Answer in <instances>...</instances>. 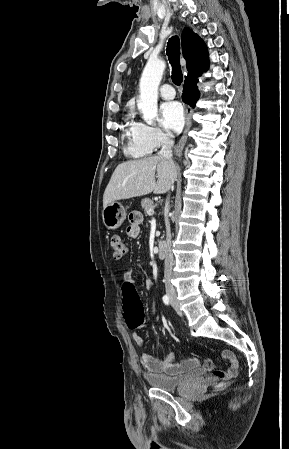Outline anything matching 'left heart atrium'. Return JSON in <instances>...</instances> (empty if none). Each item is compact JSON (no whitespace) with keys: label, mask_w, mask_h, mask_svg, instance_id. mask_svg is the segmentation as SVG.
I'll return each instance as SVG.
<instances>
[{"label":"left heart atrium","mask_w":289,"mask_h":449,"mask_svg":"<svg viewBox=\"0 0 289 449\" xmlns=\"http://www.w3.org/2000/svg\"><path fill=\"white\" fill-rule=\"evenodd\" d=\"M160 122L168 131L178 132L185 122L183 107L179 102H165L160 106Z\"/></svg>","instance_id":"39dd6f15"}]
</instances>
